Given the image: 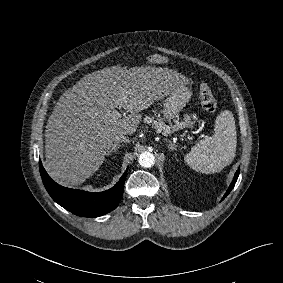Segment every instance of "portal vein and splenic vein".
I'll use <instances>...</instances> for the list:
<instances>
[{
	"instance_id": "1",
	"label": "portal vein and splenic vein",
	"mask_w": 283,
	"mask_h": 283,
	"mask_svg": "<svg viewBox=\"0 0 283 283\" xmlns=\"http://www.w3.org/2000/svg\"><path fill=\"white\" fill-rule=\"evenodd\" d=\"M111 118L113 119H120L121 118V113L117 110L112 111V113L110 114Z\"/></svg>"
}]
</instances>
